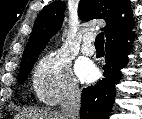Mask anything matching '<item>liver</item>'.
<instances>
[{"mask_svg":"<svg viewBox=\"0 0 142 119\" xmlns=\"http://www.w3.org/2000/svg\"><path fill=\"white\" fill-rule=\"evenodd\" d=\"M22 119H64L62 114L48 110H33L24 111L20 116Z\"/></svg>","mask_w":142,"mask_h":119,"instance_id":"obj_1","label":"liver"}]
</instances>
